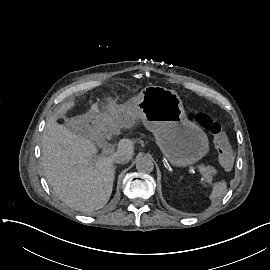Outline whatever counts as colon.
<instances>
[{
  "label": "colon",
  "mask_w": 270,
  "mask_h": 270,
  "mask_svg": "<svg viewBox=\"0 0 270 270\" xmlns=\"http://www.w3.org/2000/svg\"><path fill=\"white\" fill-rule=\"evenodd\" d=\"M195 121L199 126L210 133L215 146L221 154L219 166L220 173L223 175L231 174L233 171V150L220 123L216 122L210 115L203 112H199L195 116Z\"/></svg>",
  "instance_id": "5ec220e1"
}]
</instances>
